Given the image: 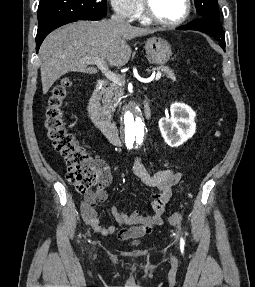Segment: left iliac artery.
I'll return each mask as SVG.
<instances>
[{"mask_svg": "<svg viewBox=\"0 0 255 287\" xmlns=\"http://www.w3.org/2000/svg\"><path fill=\"white\" fill-rule=\"evenodd\" d=\"M181 245L183 246L184 245V240L181 238Z\"/></svg>", "mask_w": 255, "mask_h": 287, "instance_id": "obj_1", "label": "left iliac artery"}]
</instances>
